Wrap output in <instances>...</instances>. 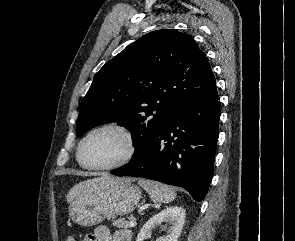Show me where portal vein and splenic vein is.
I'll return each instance as SVG.
<instances>
[{
    "label": "portal vein and splenic vein",
    "instance_id": "18ae733b",
    "mask_svg": "<svg viewBox=\"0 0 295 241\" xmlns=\"http://www.w3.org/2000/svg\"><path fill=\"white\" fill-rule=\"evenodd\" d=\"M137 225V223H136V221L134 220V219H131L130 221H129V226L130 227H135Z\"/></svg>",
    "mask_w": 295,
    "mask_h": 241
}]
</instances>
